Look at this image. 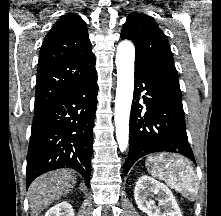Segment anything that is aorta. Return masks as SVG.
I'll list each match as a JSON object with an SVG mask.
<instances>
[{
	"mask_svg": "<svg viewBox=\"0 0 221 216\" xmlns=\"http://www.w3.org/2000/svg\"><path fill=\"white\" fill-rule=\"evenodd\" d=\"M135 48L130 41H122L117 47V89L115 99L116 139L121 151L129 142V117L134 91Z\"/></svg>",
	"mask_w": 221,
	"mask_h": 216,
	"instance_id": "762f6f07",
	"label": "aorta"
}]
</instances>
